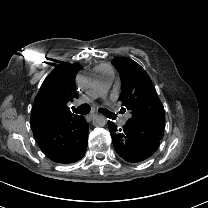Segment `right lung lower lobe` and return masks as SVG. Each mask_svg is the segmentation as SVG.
Instances as JSON below:
<instances>
[{
  "label": "right lung lower lobe",
  "instance_id": "obj_1",
  "mask_svg": "<svg viewBox=\"0 0 208 208\" xmlns=\"http://www.w3.org/2000/svg\"><path fill=\"white\" fill-rule=\"evenodd\" d=\"M31 128L40 149L52 161L69 164L85 155L89 124L83 116L31 123Z\"/></svg>",
  "mask_w": 208,
  "mask_h": 208
}]
</instances>
